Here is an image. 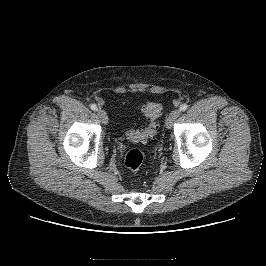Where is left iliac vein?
Segmentation results:
<instances>
[{
	"instance_id": "1",
	"label": "left iliac vein",
	"mask_w": 266,
	"mask_h": 266,
	"mask_svg": "<svg viewBox=\"0 0 266 266\" xmlns=\"http://www.w3.org/2000/svg\"><path fill=\"white\" fill-rule=\"evenodd\" d=\"M179 115H180L179 109H175L170 113V115L168 116L166 120L167 128H170L173 125V122L179 117Z\"/></svg>"
}]
</instances>
